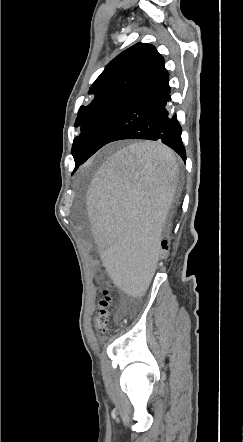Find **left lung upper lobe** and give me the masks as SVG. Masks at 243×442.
<instances>
[{
	"mask_svg": "<svg viewBox=\"0 0 243 442\" xmlns=\"http://www.w3.org/2000/svg\"><path fill=\"white\" fill-rule=\"evenodd\" d=\"M161 59L162 56L153 45L137 43L105 67L89 89L88 93L94 95V99L78 111L75 127H80L81 133L74 139L71 151L75 170L84 162L88 148L114 108L147 77Z\"/></svg>",
	"mask_w": 243,
	"mask_h": 442,
	"instance_id": "obj_1",
	"label": "left lung upper lobe"
}]
</instances>
